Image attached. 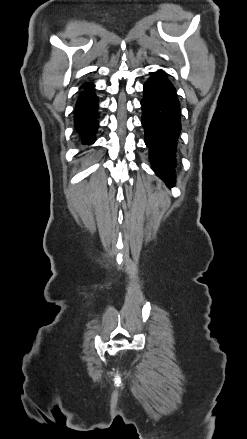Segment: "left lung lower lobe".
<instances>
[{
  "instance_id": "0a47b994",
  "label": "left lung lower lobe",
  "mask_w": 247,
  "mask_h": 439,
  "mask_svg": "<svg viewBox=\"0 0 247 439\" xmlns=\"http://www.w3.org/2000/svg\"><path fill=\"white\" fill-rule=\"evenodd\" d=\"M141 101L145 143L151 150L150 158L155 173L169 187L174 186L176 140L180 132L179 101L175 89L162 70L144 84Z\"/></svg>"
}]
</instances>
